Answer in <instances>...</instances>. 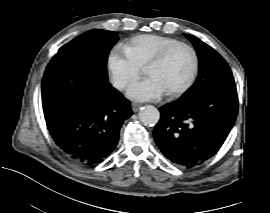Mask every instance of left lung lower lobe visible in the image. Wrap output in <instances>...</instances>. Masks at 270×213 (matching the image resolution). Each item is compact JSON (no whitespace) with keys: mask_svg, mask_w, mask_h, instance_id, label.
Here are the masks:
<instances>
[{"mask_svg":"<svg viewBox=\"0 0 270 213\" xmlns=\"http://www.w3.org/2000/svg\"><path fill=\"white\" fill-rule=\"evenodd\" d=\"M154 128L160 151L172 163L193 167L213 156L228 136L238 113L235 83L198 98H180L160 107Z\"/></svg>","mask_w":270,"mask_h":213,"instance_id":"obj_1","label":"left lung lower lobe"}]
</instances>
